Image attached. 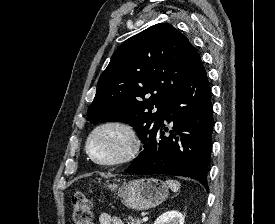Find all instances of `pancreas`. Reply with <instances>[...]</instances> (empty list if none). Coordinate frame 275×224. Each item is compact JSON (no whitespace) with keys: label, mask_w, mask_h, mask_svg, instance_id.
Segmentation results:
<instances>
[{"label":"pancreas","mask_w":275,"mask_h":224,"mask_svg":"<svg viewBox=\"0 0 275 224\" xmlns=\"http://www.w3.org/2000/svg\"><path fill=\"white\" fill-rule=\"evenodd\" d=\"M128 219V224H142V221L139 218L130 216Z\"/></svg>","instance_id":"1"}]
</instances>
